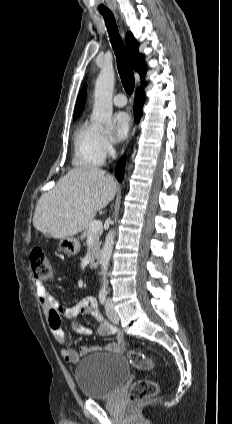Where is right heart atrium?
Instances as JSON below:
<instances>
[{
    "label": "right heart atrium",
    "instance_id": "obj_1",
    "mask_svg": "<svg viewBox=\"0 0 232 424\" xmlns=\"http://www.w3.org/2000/svg\"><path fill=\"white\" fill-rule=\"evenodd\" d=\"M101 144L105 155H110L115 150V138L110 133H103Z\"/></svg>",
    "mask_w": 232,
    "mask_h": 424
}]
</instances>
